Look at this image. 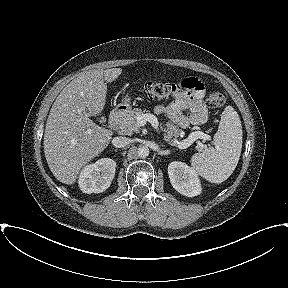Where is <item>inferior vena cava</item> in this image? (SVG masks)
Listing matches in <instances>:
<instances>
[{"instance_id": "inferior-vena-cava-1", "label": "inferior vena cava", "mask_w": 288, "mask_h": 288, "mask_svg": "<svg viewBox=\"0 0 288 288\" xmlns=\"http://www.w3.org/2000/svg\"><path fill=\"white\" fill-rule=\"evenodd\" d=\"M131 142V140L127 137H115L112 140V144L116 147H125L127 145H129Z\"/></svg>"}]
</instances>
